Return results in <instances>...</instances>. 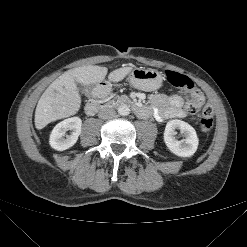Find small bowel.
I'll return each instance as SVG.
<instances>
[{"label":"small bowel","mask_w":247,"mask_h":247,"mask_svg":"<svg viewBox=\"0 0 247 247\" xmlns=\"http://www.w3.org/2000/svg\"><path fill=\"white\" fill-rule=\"evenodd\" d=\"M187 95H171L157 93L152 95V107L147 110L148 114H152L154 118L160 122L167 119L183 118L186 114L183 105Z\"/></svg>","instance_id":"small-bowel-1"}]
</instances>
